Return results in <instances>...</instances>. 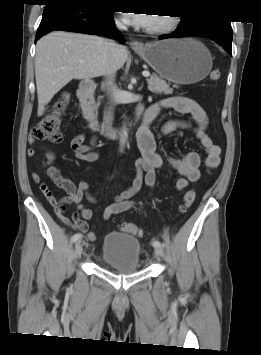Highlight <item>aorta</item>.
Segmentation results:
<instances>
[{"label":"aorta","instance_id":"1","mask_svg":"<svg viewBox=\"0 0 261 355\" xmlns=\"http://www.w3.org/2000/svg\"><path fill=\"white\" fill-rule=\"evenodd\" d=\"M126 136H127V130H126V127H124V128H123V132H122V134H121V138H120V145H121V148H123L124 145H125Z\"/></svg>","mask_w":261,"mask_h":355}]
</instances>
